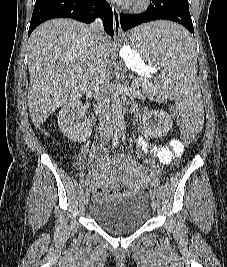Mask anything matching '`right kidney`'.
<instances>
[{
    "label": "right kidney",
    "instance_id": "obj_1",
    "mask_svg": "<svg viewBox=\"0 0 227 267\" xmlns=\"http://www.w3.org/2000/svg\"><path fill=\"white\" fill-rule=\"evenodd\" d=\"M85 115L83 104L79 100L64 105L58 114V126L61 132L73 142H85L92 133V121L80 118Z\"/></svg>",
    "mask_w": 227,
    "mask_h": 267
}]
</instances>
